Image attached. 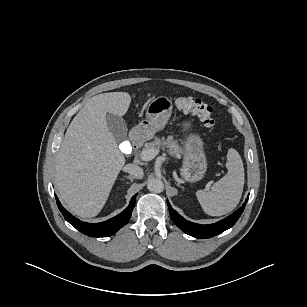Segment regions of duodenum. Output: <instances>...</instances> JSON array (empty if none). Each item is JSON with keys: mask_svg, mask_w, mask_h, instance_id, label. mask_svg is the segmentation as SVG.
Masks as SVG:
<instances>
[{"mask_svg": "<svg viewBox=\"0 0 307 307\" xmlns=\"http://www.w3.org/2000/svg\"><path fill=\"white\" fill-rule=\"evenodd\" d=\"M132 138H133V143L135 145H139L140 144V141L135 137V135H132Z\"/></svg>", "mask_w": 307, "mask_h": 307, "instance_id": "obj_1", "label": "duodenum"}]
</instances>
